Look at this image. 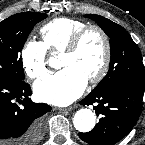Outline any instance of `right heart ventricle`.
Returning a JSON list of instances; mask_svg holds the SVG:
<instances>
[{
  "instance_id": "obj_1",
  "label": "right heart ventricle",
  "mask_w": 145,
  "mask_h": 145,
  "mask_svg": "<svg viewBox=\"0 0 145 145\" xmlns=\"http://www.w3.org/2000/svg\"><path fill=\"white\" fill-rule=\"evenodd\" d=\"M87 23L80 19L57 17L40 28L43 45L47 51L62 52L72 36Z\"/></svg>"
}]
</instances>
